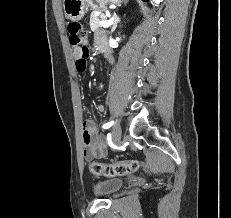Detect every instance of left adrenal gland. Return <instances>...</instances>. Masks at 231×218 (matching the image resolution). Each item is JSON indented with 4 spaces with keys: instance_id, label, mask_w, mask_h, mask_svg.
I'll use <instances>...</instances> for the list:
<instances>
[{
    "instance_id": "left-adrenal-gland-1",
    "label": "left adrenal gland",
    "mask_w": 231,
    "mask_h": 218,
    "mask_svg": "<svg viewBox=\"0 0 231 218\" xmlns=\"http://www.w3.org/2000/svg\"><path fill=\"white\" fill-rule=\"evenodd\" d=\"M119 21H120V18L116 17V19L114 21V24L112 26V30H111L112 33L115 31V29H116L117 24L119 23Z\"/></svg>"
}]
</instances>
